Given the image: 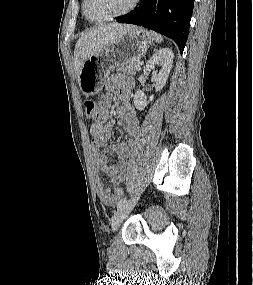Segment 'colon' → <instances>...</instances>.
<instances>
[{
	"mask_svg": "<svg viewBox=\"0 0 253 285\" xmlns=\"http://www.w3.org/2000/svg\"><path fill=\"white\" fill-rule=\"evenodd\" d=\"M84 107H85L87 117L88 118H94L95 117L96 104L91 100H86L84 102ZM116 192L120 195L123 193V189L117 188Z\"/></svg>",
	"mask_w": 253,
	"mask_h": 285,
	"instance_id": "5ec220e1",
	"label": "colon"
}]
</instances>
